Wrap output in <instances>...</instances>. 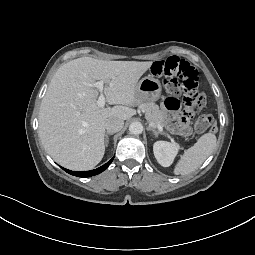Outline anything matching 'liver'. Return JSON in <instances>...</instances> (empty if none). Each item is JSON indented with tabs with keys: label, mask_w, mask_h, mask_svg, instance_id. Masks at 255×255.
<instances>
[{
	"label": "liver",
	"mask_w": 255,
	"mask_h": 255,
	"mask_svg": "<svg viewBox=\"0 0 255 255\" xmlns=\"http://www.w3.org/2000/svg\"><path fill=\"white\" fill-rule=\"evenodd\" d=\"M152 61H104L81 57L54 74L39 111V136L47 153L71 170H90L105 153V123L109 118L130 119L139 103L137 84ZM97 80L114 107H99Z\"/></svg>",
	"instance_id": "6515ba94"
}]
</instances>
